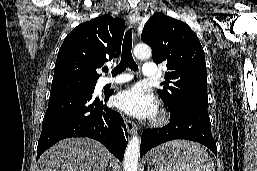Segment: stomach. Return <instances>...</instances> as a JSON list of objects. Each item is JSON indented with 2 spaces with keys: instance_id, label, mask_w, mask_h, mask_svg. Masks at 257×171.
<instances>
[{
  "instance_id": "obj_1",
  "label": "stomach",
  "mask_w": 257,
  "mask_h": 171,
  "mask_svg": "<svg viewBox=\"0 0 257 171\" xmlns=\"http://www.w3.org/2000/svg\"><path fill=\"white\" fill-rule=\"evenodd\" d=\"M175 150L166 148L164 145L153 149L149 154V164L155 171H173L178 162Z\"/></svg>"
}]
</instances>
